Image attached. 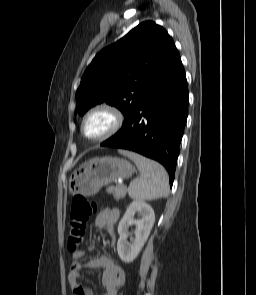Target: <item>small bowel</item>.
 I'll list each match as a JSON object with an SVG mask.
<instances>
[{"label":"small bowel","instance_id":"c3829d8e","mask_svg":"<svg viewBox=\"0 0 256 295\" xmlns=\"http://www.w3.org/2000/svg\"><path fill=\"white\" fill-rule=\"evenodd\" d=\"M120 218V212L115 208L102 210L95 218L92 226L104 228L111 236L112 242L115 240L114 226ZM85 251L79 250L72 256L73 261L68 273V281L72 288L73 295H94L92 290L85 288L79 283L80 272L84 269L92 270L102 268L101 282L105 290L104 295H116L118 288L123 284L126 273L124 269L111 258L101 256L90 259L82 263L81 259L85 257Z\"/></svg>","mask_w":256,"mask_h":295}]
</instances>
